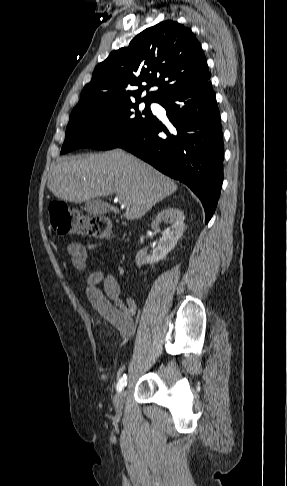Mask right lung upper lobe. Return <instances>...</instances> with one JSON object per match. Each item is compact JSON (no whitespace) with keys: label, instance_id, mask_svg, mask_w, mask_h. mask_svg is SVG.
Instances as JSON below:
<instances>
[{"label":"right lung upper lobe","instance_id":"right-lung-upper-lobe-1","mask_svg":"<svg viewBox=\"0 0 287 486\" xmlns=\"http://www.w3.org/2000/svg\"><path fill=\"white\" fill-rule=\"evenodd\" d=\"M209 78L205 55L192 31L176 21H163L99 63L73 111L104 102L140 99L141 93L152 86L159 89L143 99L157 102L174 92L200 86Z\"/></svg>","mask_w":287,"mask_h":486}]
</instances>
